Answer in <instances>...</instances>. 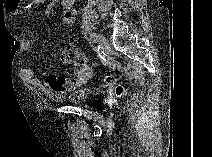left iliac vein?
<instances>
[{
  "label": "left iliac vein",
  "instance_id": "left-iliac-vein-1",
  "mask_svg": "<svg viewBox=\"0 0 212 157\" xmlns=\"http://www.w3.org/2000/svg\"><path fill=\"white\" fill-rule=\"evenodd\" d=\"M95 36L102 48V52L107 53L109 49V42L107 41V39L101 34H95Z\"/></svg>",
  "mask_w": 212,
  "mask_h": 157
}]
</instances>
